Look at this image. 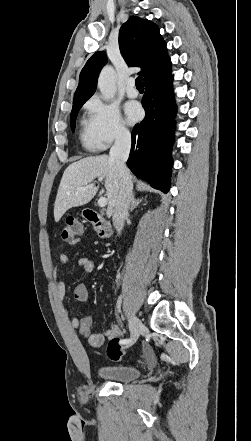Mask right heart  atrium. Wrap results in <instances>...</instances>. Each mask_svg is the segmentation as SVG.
I'll return each mask as SVG.
<instances>
[{"label":"right heart atrium","instance_id":"obj_1","mask_svg":"<svg viewBox=\"0 0 251 441\" xmlns=\"http://www.w3.org/2000/svg\"><path fill=\"white\" fill-rule=\"evenodd\" d=\"M86 109L93 149L102 150L115 141L129 137L130 131L116 104L92 97L87 102Z\"/></svg>","mask_w":251,"mask_h":441}]
</instances>
